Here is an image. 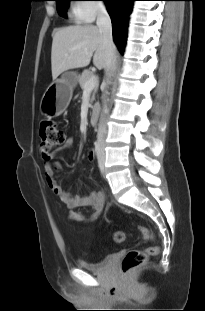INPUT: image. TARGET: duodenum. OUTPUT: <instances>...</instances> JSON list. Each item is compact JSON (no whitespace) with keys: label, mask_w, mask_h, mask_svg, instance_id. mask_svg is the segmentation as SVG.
I'll list each match as a JSON object with an SVG mask.
<instances>
[{"label":"duodenum","mask_w":205,"mask_h":311,"mask_svg":"<svg viewBox=\"0 0 205 311\" xmlns=\"http://www.w3.org/2000/svg\"><path fill=\"white\" fill-rule=\"evenodd\" d=\"M99 110H100V107L98 104H93L91 109H90V112H89V119H90V122L91 124H96L97 121H98V115H99Z\"/></svg>","instance_id":"1"}]
</instances>
